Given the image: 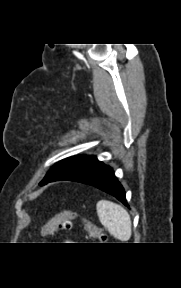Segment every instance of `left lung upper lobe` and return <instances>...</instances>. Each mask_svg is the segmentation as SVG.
Here are the masks:
<instances>
[{
    "label": "left lung upper lobe",
    "instance_id": "left-lung-upper-lobe-1",
    "mask_svg": "<svg viewBox=\"0 0 181 288\" xmlns=\"http://www.w3.org/2000/svg\"><path fill=\"white\" fill-rule=\"evenodd\" d=\"M103 165L104 163L100 162L96 156L78 155L66 158L51 167L47 175L40 182V185L58 180L78 182L94 173Z\"/></svg>",
    "mask_w": 181,
    "mask_h": 288
}]
</instances>
